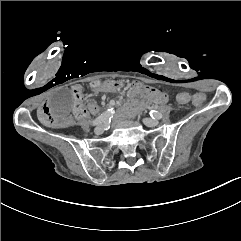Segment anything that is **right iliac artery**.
Instances as JSON below:
<instances>
[{"label": "right iliac artery", "instance_id": "right-iliac-artery-1", "mask_svg": "<svg viewBox=\"0 0 241 241\" xmlns=\"http://www.w3.org/2000/svg\"><path fill=\"white\" fill-rule=\"evenodd\" d=\"M114 114V110L113 108L108 109L106 112H104L103 114H101L100 116H98L93 122L92 125H98L104 122H108L111 120V118L113 117Z\"/></svg>", "mask_w": 241, "mask_h": 241}]
</instances>
